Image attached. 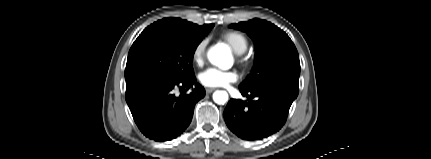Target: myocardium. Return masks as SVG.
<instances>
[{
	"instance_id": "f54148a6",
	"label": "myocardium",
	"mask_w": 431,
	"mask_h": 159,
	"mask_svg": "<svg viewBox=\"0 0 431 159\" xmlns=\"http://www.w3.org/2000/svg\"><path fill=\"white\" fill-rule=\"evenodd\" d=\"M242 62L246 63V60H245V59H242Z\"/></svg>"
}]
</instances>
